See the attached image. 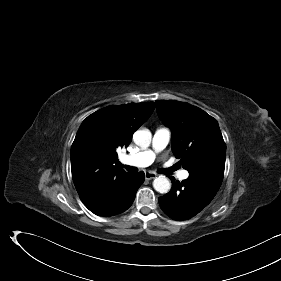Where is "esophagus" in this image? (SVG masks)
<instances>
[{
	"instance_id": "obj_1",
	"label": "esophagus",
	"mask_w": 281,
	"mask_h": 281,
	"mask_svg": "<svg viewBox=\"0 0 281 281\" xmlns=\"http://www.w3.org/2000/svg\"><path fill=\"white\" fill-rule=\"evenodd\" d=\"M156 177H157V174L154 173V172H150V171L145 172V179L146 180H151V179L156 178Z\"/></svg>"
}]
</instances>
